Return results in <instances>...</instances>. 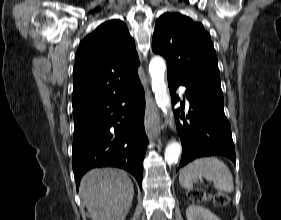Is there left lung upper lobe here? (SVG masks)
I'll return each instance as SVG.
<instances>
[{
    "instance_id": "1",
    "label": "left lung upper lobe",
    "mask_w": 281,
    "mask_h": 220,
    "mask_svg": "<svg viewBox=\"0 0 281 220\" xmlns=\"http://www.w3.org/2000/svg\"><path fill=\"white\" fill-rule=\"evenodd\" d=\"M152 50L167 60L168 78L198 85L223 100L218 61L203 25L179 13L156 22Z\"/></svg>"
}]
</instances>
